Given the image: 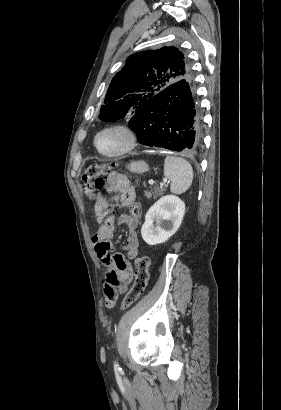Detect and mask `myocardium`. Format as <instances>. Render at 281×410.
I'll list each match as a JSON object with an SVG mask.
<instances>
[{
  "mask_svg": "<svg viewBox=\"0 0 281 410\" xmlns=\"http://www.w3.org/2000/svg\"><path fill=\"white\" fill-rule=\"evenodd\" d=\"M107 132H117V133L122 134L125 139L124 146L121 149L114 151V152H105L101 150L98 145V139L102 134L107 133ZM137 144H138L137 132L131 126L125 123H114V124L106 125L102 127L101 129H99L95 133L94 138H93V145L96 151L100 155L104 157H108V158H115V157L123 156L131 152L132 150H134Z\"/></svg>",
  "mask_w": 281,
  "mask_h": 410,
  "instance_id": "myocardium-1",
  "label": "myocardium"
}]
</instances>
